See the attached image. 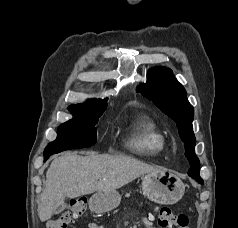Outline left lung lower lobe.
I'll list each match as a JSON object with an SVG mask.
<instances>
[{
	"label": "left lung lower lobe",
	"mask_w": 238,
	"mask_h": 228,
	"mask_svg": "<svg viewBox=\"0 0 238 228\" xmlns=\"http://www.w3.org/2000/svg\"><path fill=\"white\" fill-rule=\"evenodd\" d=\"M194 179H196L200 184H203V180L201 179V177H192Z\"/></svg>",
	"instance_id": "0a47b994"
}]
</instances>
